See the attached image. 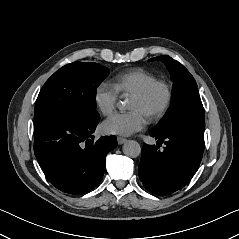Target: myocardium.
Returning a JSON list of instances; mask_svg holds the SVG:
<instances>
[{"label": "myocardium", "mask_w": 239, "mask_h": 239, "mask_svg": "<svg viewBox=\"0 0 239 239\" xmlns=\"http://www.w3.org/2000/svg\"><path fill=\"white\" fill-rule=\"evenodd\" d=\"M155 88L161 89L162 97L160 102L146 113L148 117L157 116L167 109L171 99V91L168 84L163 80H154L130 97V99L135 102H141L145 100Z\"/></svg>", "instance_id": "1"}]
</instances>
